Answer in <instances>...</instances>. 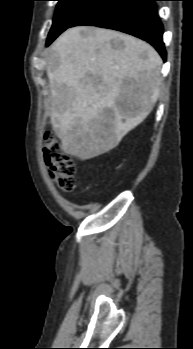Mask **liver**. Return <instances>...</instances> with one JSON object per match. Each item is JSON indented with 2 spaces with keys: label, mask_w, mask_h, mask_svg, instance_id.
Listing matches in <instances>:
<instances>
[{
  "label": "liver",
  "mask_w": 193,
  "mask_h": 349,
  "mask_svg": "<svg viewBox=\"0 0 193 349\" xmlns=\"http://www.w3.org/2000/svg\"><path fill=\"white\" fill-rule=\"evenodd\" d=\"M113 39L122 41V49L112 47ZM161 65L157 51L131 35L94 27L62 33L47 65L51 124L62 149L87 160L115 148L155 106ZM121 99L133 109L122 112Z\"/></svg>",
  "instance_id": "6515ba94"
}]
</instances>
